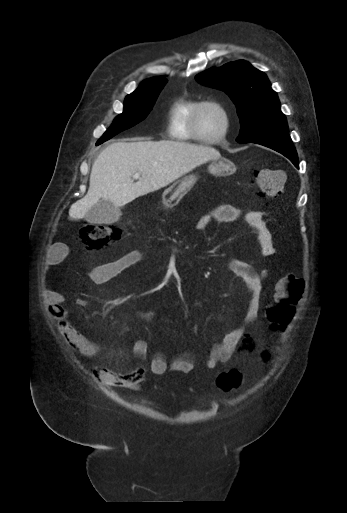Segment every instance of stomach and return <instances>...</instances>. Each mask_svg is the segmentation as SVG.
<instances>
[{
    "mask_svg": "<svg viewBox=\"0 0 347 513\" xmlns=\"http://www.w3.org/2000/svg\"><path fill=\"white\" fill-rule=\"evenodd\" d=\"M235 165L232 161L221 158L213 160L208 171L214 176H226L233 172ZM197 177L194 174L184 175L176 180L170 187L165 189L162 194V203L165 207H173L177 202L189 192L196 183Z\"/></svg>",
    "mask_w": 347,
    "mask_h": 513,
    "instance_id": "1",
    "label": "stomach"
}]
</instances>
